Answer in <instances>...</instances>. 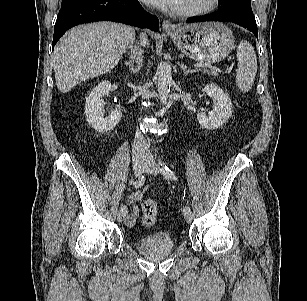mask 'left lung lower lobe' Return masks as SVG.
Masks as SVG:
<instances>
[{
    "mask_svg": "<svg viewBox=\"0 0 307 301\" xmlns=\"http://www.w3.org/2000/svg\"><path fill=\"white\" fill-rule=\"evenodd\" d=\"M203 21L234 22L253 32L258 39L257 24L252 10L217 11L203 17L190 18L186 22L193 23Z\"/></svg>",
    "mask_w": 307,
    "mask_h": 301,
    "instance_id": "left-lung-lower-lobe-1",
    "label": "left lung lower lobe"
}]
</instances>
